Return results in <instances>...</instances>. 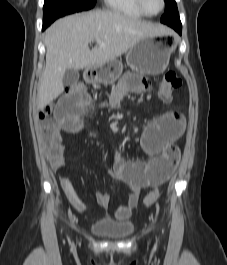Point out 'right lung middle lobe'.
Masks as SVG:
<instances>
[{
  "instance_id": "obj_1",
  "label": "right lung middle lobe",
  "mask_w": 227,
  "mask_h": 265,
  "mask_svg": "<svg viewBox=\"0 0 227 265\" xmlns=\"http://www.w3.org/2000/svg\"><path fill=\"white\" fill-rule=\"evenodd\" d=\"M96 0H45L43 7V29L55 19L67 14L88 10L94 7Z\"/></svg>"
}]
</instances>
